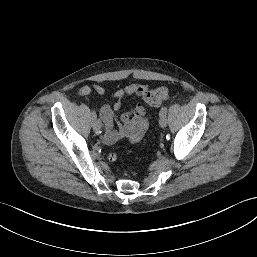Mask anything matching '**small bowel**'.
I'll use <instances>...</instances> for the list:
<instances>
[{
	"label": "small bowel",
	"instance_id": "c3829d8e",
	"mask_svg": "<svg viewBox=\"0 0 257 257\" xmlns=\"http://www.w3.org/2000/svg\"><path fill=\"white\" fill-rule=\"evenodd\" d=\"M148 91L149 87L147 85L132 83L112 94V97L116 100L113 106L105 104L100 107L99 115L104 123L105 133L103 138L105 143L113 144L121 139H128L130 142H138L142 139L148 129V119L143 104H139L129 112L122 114L118 128H115L114 120L115 112L121 109L122 103L126 98L144 97ZM106 93V89L99 84L82 86L77 92L80 97L91 94L105 95Z\"/></svg>",
	"mask_w": 257,
	"mask_h": 257
}]
</instances>
